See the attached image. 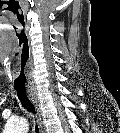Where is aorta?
Instances as JSON below:
<instances>
[{
    "label": "aorta",
    "instance_id": "obj_1",
    "mask_svg": "<svg viewBox=\"0 0 120 133\" xmlns=\"http://www.w3.org/2000/svg\"><path fill=\"white\" fill-rule=\"evenodd\" d=\"M28 128L27 122L24 119H17L9 122L6 126L7 133H21Z\"/></svg>",
    "mask_w": 120,
    "mask_h": 133
}]
</instances>
